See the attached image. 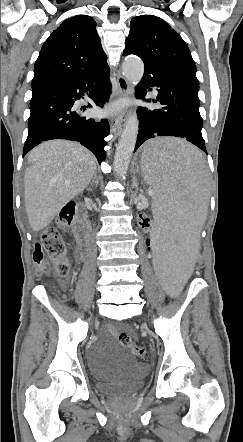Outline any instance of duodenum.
<instances>
[{
	"mask_svg": "<svg viewBox=\"0 0 243 442\" xmlns=\"http://www.w3.org/2000/svg\"><path fill=\"white\" fill-rule=\"evenodd\" d=\"M73 232L78 244V249L82 259H85L88 254V233L89 227L84 217V210H80V216L73 226Z\"/></svg>",
	"mask_w": 243,
	"mask_h": 442,
	"instance_id": "obj_1",
	"label": "duodenum"
}]
</instances>
